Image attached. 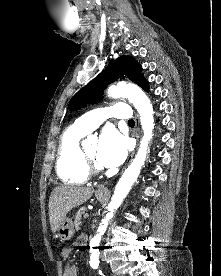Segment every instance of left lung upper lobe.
<instances>
[{"mask_svg":"<svg viewBox=\"0 0 221 276\" xmlns=\"http://www.w3.org/2000/svg\"><path fill=\"white\" fill-rule=\"evenodd\" d=\"M141 71V66L130 56H120L116 60H111L103 72L72 97L69 109L77 110L81 106H86L87 103H98L102 99L106 86L119 78L129 79L143 90L148 91V82Z\"/></svg>","mask_w":221,"mask_h":276,"instance_id":"5c2ea615","label":"left lung upper lobe"}]
</instances>
